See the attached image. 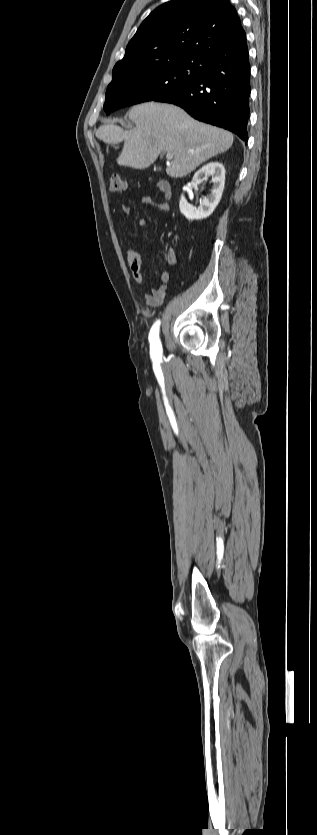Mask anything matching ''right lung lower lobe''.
<instances>
[{
    "instance_id": "1",
    "label": "right lung lower lobe",
    "mask_w": 317,
    "mask_h": 835,
    "mask_svg": "<svg viewBox=\"0 0 317 835\" xmlns=\"http://www.w3.org/2000/svg\"><path fill=\"white\" fill-rule=\"evenodd\" d=\"M246 36L199 59L196 79L154 101L173 103L193 118L225 128L247 142L250 64Z\"/></svg>"
}]
</instances>
